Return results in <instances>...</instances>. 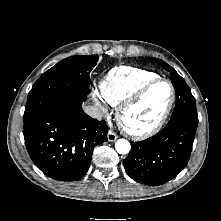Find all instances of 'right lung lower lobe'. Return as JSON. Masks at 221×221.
Masks as SVG:
<instances>
[{"label":"right lung lower lobe","instance_id":"98d812e1","mask_svg":"<svg viewBox=\"0 0 221 221\" xmlns=\"http://www.w3.org/2000/svg\"><path fill=\"white\" fill-rule=\"evenodd\" d=\"M105 121L88 116L80 104L50 111L24 129L27 151L48 177L77 181L87 172L93 149L107 141Z\"/></svg>","mask_w":221,"mask_h":221}]
</instances>
